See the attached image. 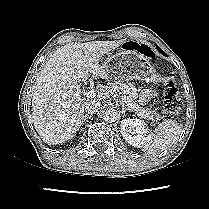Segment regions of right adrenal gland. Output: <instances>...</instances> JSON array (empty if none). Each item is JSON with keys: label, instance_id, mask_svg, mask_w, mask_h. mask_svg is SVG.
Listing matches in <instances>:
<instances>
[{"label": "right adrenal gland", "instance_id": "obj_1", "mask_svg": "<svg viewBox=\"0 0 209 209\" xmlns=\"http://www.w3.org/2000/svg\"><path fill=\"white\" fill-rule=\"evenodd\" d=\"M91 117H92V115L86 114V115L84 116L83 122H85L86 119H91Z\"/></svg>", "mask_w": 209, "mask_h": 209}]
</instances>
